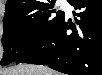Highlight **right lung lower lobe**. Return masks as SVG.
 <instances>
[{
  "mask_svg": "<svg viewBox=\"0 0 102 75\" xmlns=\"http://www.w3.org/2000/svg\"><path fill=\"white\" fill-rule=\"evenodd\" d=\"M80 13L76 24L64 18L18 63L48 65L68 75H102V1L68 0ZM67 30H72L70 35Z\"/></svg>",
  "mask_w": 102,
  "mask_h": 75,
  "instance_id": "right-lung-lower-lobe-1",
  "label": "right lung lower lobe"
}]
</instances>
